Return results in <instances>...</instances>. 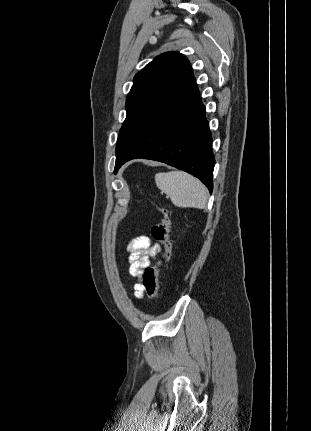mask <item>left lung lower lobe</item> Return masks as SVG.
Segmentation results:
<instances>
[{"mask_svg": "<svg viewBox=\"0 0 311 431\" xmlns=\"http://www.w3.org/2000/svg\"><path fill=\"white\" fill-rule=\"evenodd\" d=\"M205 107L193 77L153 116L122 154L115 171L125 162L152 159L186 171L200 179L212 193L215 158Z\"/></svg>", "mask_w": 311, "mask_h": 431, "instance_id": "0a47b994", "label": "left lung lower lobe"}]
</instances>
